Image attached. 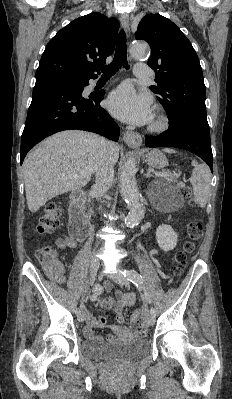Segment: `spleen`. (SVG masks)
Segmentation results:
<instances>
[{
  "label": "spleen",
  "instance_id": "3e777b00",
  "mask_svg": "<svg viewBox=\"0 0 232 399\" xmlns=\"http://www.w3.org/2000/svg\"><path fill=\"white\" fill-rule=\"evenodd\" d=\"M163 152L177 154L176 150H170V148H164ZM190 182L193 186L194 200L199 207H205L211 190V172L209 166H206V164L196 166L192 172Z\"/></svg>",
  "mask_w": 232,
  "mask_h": 399
}]
</instances>
